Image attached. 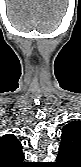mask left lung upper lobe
Here are the masks:
<instances>
[{
  "label": "left lung upper lobe",
  "mask_w": 81,
  "mask_h": 167,
  "mask_svg": "<svg viewBox=\"0 0 81 167\" xmlns=\"http://www.w3.org/2000/svg\"><path fill=\"white\" fill-rule=\"evenodd\" d=\"M59 151L65 153L70 162L79 166L81 163V122L72 121L62 129Z\"/></svg>",
  "instance_id": "1"
}]
</instances>
